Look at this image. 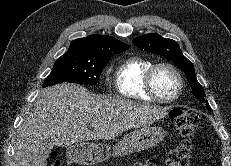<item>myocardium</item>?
I'll return each instance as SVG.
<instances>
[{
	"label": "myocardium",
	"instance_id": "obj_1",
	"mask_svg": "<svg viewBox=\"0 0 231 166\" xmlns=\"http://www.w3.org/2000/svg\"><path fill=\"white\" fill-rule=\"evenodd\" d=\"M160 68H167L170 71H172L174 73V75L176 76L177 80H178V90L175 93V95L171 98H163L161 97L155 87H154V76L155 73L158 69ZM145 90L147 92V94L155 101L159 102V103H163V104H170L175 102L182 94L183 90H184V78L182 73L180 72V70L175 67L174 65L167 63V62H158L153 64L146 72L145 75Z\"/></svg>",
	"mask_w": 231,
	"mask_h": 166
}]
</instances>
